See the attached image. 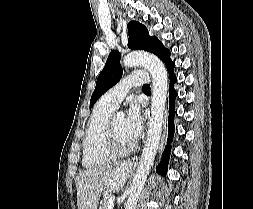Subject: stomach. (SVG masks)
Returning <instances> with one entry per match:
<instances>
[{
	"label": "stomach",
	"mask_w": 253,
	"mask_h": 209,
	"mask_svg": "<svg viewBox=\"0 0 253 209\" xmlns=\"http://www.w3.org/2000/svg\"><path fill=\"white\" fill-rule=\"evenodd\" d=\"M112 181H101V190H110V186H112Z\"/></svg>",
	"instance_id": "1"
}]
</instances>
